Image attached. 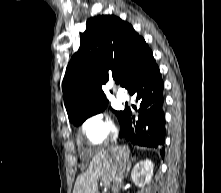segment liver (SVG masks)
<instances>
[{"instance_id": "liver-1", "label": "liver", "mask_w": 221, "mask_h": 193, "mask_svg": "<svg viewBox=\"0 0 221 193\" xmlns=\"http://www.w3.org/2000/svg\"><path fill=\"white\" fill-rule=\"evenodd\" d=\"M129 156L128 146L96 150L87 171L77 177L73 193H97L99 178L105 185H110L113 181L117 160L128 161Z\"/></svg>"}]
</instances>
